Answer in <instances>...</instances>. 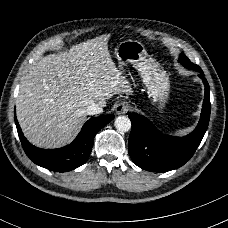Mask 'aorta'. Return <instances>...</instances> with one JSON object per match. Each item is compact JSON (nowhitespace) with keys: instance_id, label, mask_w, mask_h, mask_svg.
Segmentation results:
<instances>
[{"instance_id":"aorta-1","label":"aorta","mask_w":228,"mask_h":228,"mask_svg":"<svg viewBox=\"0 0 228 228\" xmlns=\"http://www.w3.org/2000/svg\"><path fill=\"white\" fill-rule=\"evenodd\" d=\"M114 126L120 132H128L131 129V121L127 116H118L115 119Z\"/></svg>"}]
</instances>
